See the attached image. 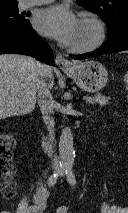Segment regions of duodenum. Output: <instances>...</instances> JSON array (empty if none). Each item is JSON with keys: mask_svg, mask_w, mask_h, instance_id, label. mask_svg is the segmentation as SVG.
Wrapping results in <instances>:
<instances>
[{"mask_svg": "<svg viewBox=\"0 0 128 213\" xmlns=\"http://www.w3.org/2000/svg\"><path fill=\"white\" fill-rule=\"evenodd\" d=\"M43 145L48 152H51L53 149V144L49 136L42 134Z\"/></svg>", "mask_w": 128, "mask_h": 213, "instance_id": "obj_1", "label": "duodenum"}]
</instances>
